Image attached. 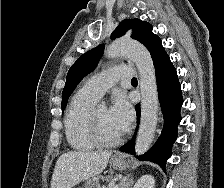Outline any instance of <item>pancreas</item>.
I'll list each match as a JSON object with an SVG mask.
<instances>
[{"label":"pancreas","mask_w":224,"mask_h":188,"mask_svg":"<svg viewBox=\"0 0 224 188\" xmlns=\"http://www.w3.org/2000/svg\"><path fill=\"white\" fill-rule=\"evenodd\" d=\"M99 180H100V177H98V176H95V177H92L91 179H88L84 183V188H103V186H101L99 184Z\"/></svg>","instance_id":"1"}]
</instances>
